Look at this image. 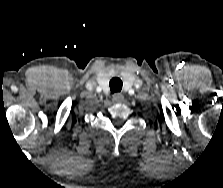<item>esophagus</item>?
<instances>
[{
  "label": "esophagus",
  "mask_w": 223,
  "mask_h": 188,
  "mask_svg": "<svg viewBox=\"0 0 223 188\" xmlns=\"http://www.w3.org/2000/svg\"><path fill=\"white\" fill-rule=\"evenodd\" d=\"M113 100L115 102H121L123 100V97L120 93H117V94L114 95Z\"/></svg>",
  "instance_id": "obj_1"
}]
</instances>
